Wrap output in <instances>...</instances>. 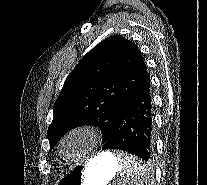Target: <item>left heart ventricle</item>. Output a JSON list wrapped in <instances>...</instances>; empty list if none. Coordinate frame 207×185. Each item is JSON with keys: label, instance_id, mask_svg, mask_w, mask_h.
<instances>
[{"label": "left heart ventricle", "instance_id": "1", "mask_svg": "<svg viewBox=\"0 0 207 185\" xmlns=\"http://www.w3.org/2000/svg\"><path fill=\"white\" fill-rule=\"evenodd\" d=\"M90 145L89 138L83 133H77L68 138L62 147L63 156L68 159H74L82 154Z\"/></svg>", "mask_w": 207, "mask_h": 185}]
</instances>
